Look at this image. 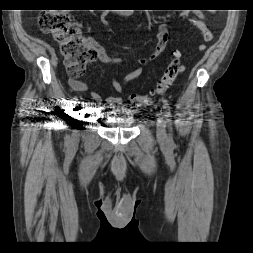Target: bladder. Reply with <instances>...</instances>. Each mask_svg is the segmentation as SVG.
Masks as SVG:
<instances>
[{"label": "bladder", "mask_w": 253, "mask_h": 253, "mask_svg": "<svg viewBox=\"0 0 253 253\" xmlns=\"http://www.w3.org/2000/svg\"><path fill=\"white\" fill-rule=\"evenodd\" d=\"M104 122L109 127L131 128L134 126L135 118L126 110L102 111Z\"/></svg>", "instance_id": "bladder-1"}]
</instances>
